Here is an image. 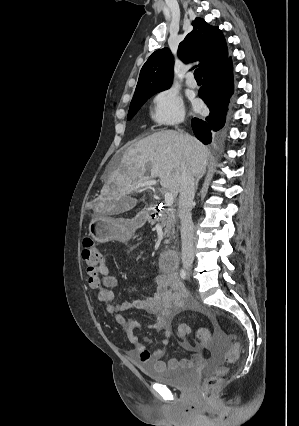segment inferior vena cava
<instances>
[{
  "instance_id": "obj_1",
  "label": "inferior vena cava",
  "mask_w": 299,
  "mask_h": 426,
  "mask_svg": "<svg viewBox=\"0 0 299 426\" xmlns=\"http://www.w3.org/2000/svg\"><path fill=\"white\" fill-rule=\"evenodd\" d=\"M183 137V134H181ZM195 195L194 176L185 163L181 167V183L178 201V216L181 223L182 263L190 267L194 260V229L191 210Z\"/></svg>"
}]
</instances>
